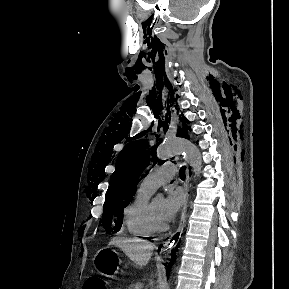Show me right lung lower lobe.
Segmentation results:
<instances>
[{
	"label": "right lung lower lobe",
	"instance_id": "98d812e1",
	"mask_svg": "<svg viewBox=\"0 0 289 289\" xmlns=\"http://www.w3.org/2000/svg\"><path fill=\"white\" fill-rule=\"evenodd\" d=\"M175 255V254H174ZM173 259H174V256H172V261L170 262V267L169 269L171 268L172 264H173Z\"/></svg>",
	"mask_w": 289,
	"mask_h": 289
}]
</instances>
